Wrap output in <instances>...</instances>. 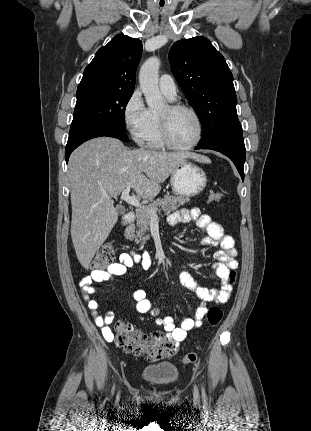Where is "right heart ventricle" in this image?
<instances>
[{
	"label": "right heart ventricle",
	"mask_w": 311,
	"mask_h": 431,
	"mask_svg": "<svg viewBox=\"0 0 311 431\" xmlns=\"http://www.w3.org/2000/svg\"><path fill=\"white\" fill-rule=\"evenodd\" d=\"M144 138L147 144L152 148H162L164 146L160 138L159 114L154 111H149Z\"/></svg>",
	"instance_id": "e07e8e85"
}]
</instances>
